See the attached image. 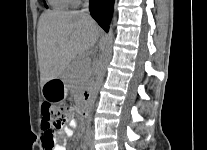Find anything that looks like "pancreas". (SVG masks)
<instances>
[{"instance_id":"pancreas-1","label":"pancreas","mask_w":207,"mask_h":150,"mask_svg":"<svg viewBox=\"0 0 207 150\" xmlns=\"http://www.w3.org/2000/svg\"><path fill=\"white\" fill-rule=\"evenodd\" d=\"M84 60H86V58H79L68 68V81L70 84L74 85V88L83 86L90 76V71L88 69L89 62L85 63Z\"/></svg>"}]
</instances>
